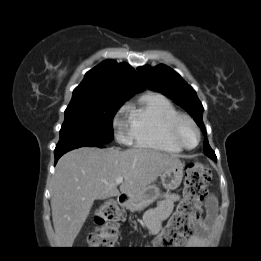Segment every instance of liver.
<instances>
[{
	"instance_id": "liver-1",
	"label": "liver",
	"mask_w": 261,
	"mask_h": 261,
	"mask_svg": "<svg viewBox=\"0 0 261 261\" xmlns=\"http://www.w3.org/2000/svg\"><path fill=\"white\" fill-rule=\"evenodd\" d=\"M180 163L175 155L150 149L82 147L63 155L51 187V209L59 247L70 248L96 199L133 196ZM123 177L120 192L115 184Z\"/></svg>"
}]
</instances>
